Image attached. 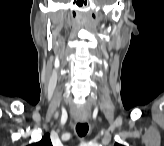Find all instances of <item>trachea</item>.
I'll list each match as a JSON object with an SVG mask.
<instances>
[{
    "mask_svg": "<svg viewBox=\"0 0 164 146\" xmlns=\"http://www.w3.org/2000/svg\"><path fill=\"white\" fill-rule=\"evenodd\" d=\"M88 129L89 127L87 123H78L76 125V131L80 137H84L87 134Z\"/></svg>",
    "mask_w": 164,
    "mask_h": 146,
    "instance_id": "trachea-1",
    "label": "trachea"
}]
</instances>
